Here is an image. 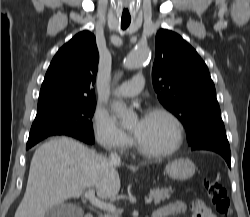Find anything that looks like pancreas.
Returning a JSON list of instances; mask_svg holds the SVG:
<instances>
[{
  "instance_id": "pancreas-1",
  "label": "pancreas",
  "mask_w": 250,
  "mask_h": 217,
  "mask_svg": "<svg viewBox=\"0 0 250 217\" xmlns=\"http://www.w3.org/2000/svg\"><path fill=\"white\" fill-rule=\"evenodd\" d=\"M172 189L171 188H156V189H152L150 191V197L154 198V203L155 204H159L161 201H164L167 198L171 197L172 194ZM100 217H118L117 213H107L104 215H100Z\"/></svg>"
}]
</instances>
